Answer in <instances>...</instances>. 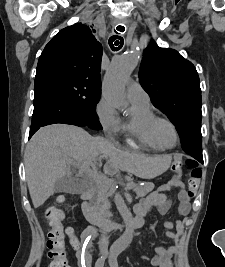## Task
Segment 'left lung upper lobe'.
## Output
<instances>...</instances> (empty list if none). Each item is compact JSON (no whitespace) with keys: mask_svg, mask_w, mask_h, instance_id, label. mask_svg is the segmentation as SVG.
Returning a JSON list of instances; mask_svg holds the SVG:
<instances>
[{"mask_svg":"<svg viewBox=\"0 0 225 267\" xmlns=\"http://www.w3.org/2000/svg\"><path fill=\"white\" fill-rule=\"evenodd\" d=\"M139 78L153 105L176 127L183 150L202 159L201 89L194 65L153 42L144 50Z\"/></svg>","mask_w":225,"mask_h":267,"instance_id":"1","label":"left lung upper lobe"}]
</instances>
